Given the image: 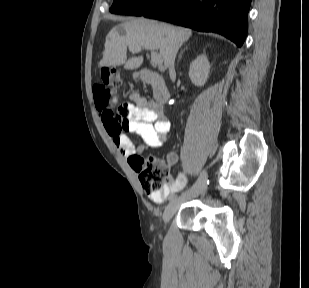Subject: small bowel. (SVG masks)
<instances>
[{
  "label": "small bowel",
  "mask_w": 309,
  "mask_h": 288,
  "mask_svg": "<svg viewBox=\"0 0 309 288\" xmlns=\"http://www.w3.org/2000/svg\"><path fill=\"white\" fill-rule=\"evenodd\" d=\"M129 111L127 122L124 125H117L108 117L102 116L106 132L111 137L114 145L120 153L127 159L130 167L137 172L138 165L133 160L136 155H142L146 149L161 147L166 141L170 130V120L166 116L162 107L153 100H147L137 94L132 96V102L125 104ZM128 131L139 135L143 143L134 146L130 138L124 133ZM178 155L174 151L166 154V163L175 165ZM186 179L183 174H179L160 193L149 194L148 198L157 204L163 203L170 195L185 186Z\"/></svg>",
  "instance_id": "1"
}]
</instances>
